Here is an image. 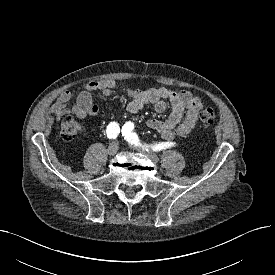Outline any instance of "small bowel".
<instances>
[{
  "mask_svg": "<svg viewBox=\"0 0 275 275\" xmlns=\"http://www.w3.org/2000/svg\"><path fill=\"white\" fill-rule=\"evenodd\" d=\"M129 98L127 111L137 113L144 106L150 104L158 113L167 109V102L171 105V113L166 120L149 119L147 126L158 132L166 141H172L176 136H187L194 129L198 113L203 104L199 97L189 91H174L165 87L149 88L146 90L121 88ZM118 92V86L113 80L91 82L82 87L77 93L70 90L62 92L53 104L51 111L56 117L75 114L79 118L97 116L99 107L93 104L96 94L113 96Z\"/></svg>",
  "mask_w": 275,
  "mask_h": 275,
  "instance_id": "1",
  "label": "small bowel"
}]
</instances>
